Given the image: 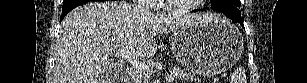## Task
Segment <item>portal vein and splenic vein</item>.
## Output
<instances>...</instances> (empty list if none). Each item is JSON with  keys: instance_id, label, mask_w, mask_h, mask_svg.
I'll return each instance as SVG.
<instances>
[{"instance_id": "portal-vein-and-splenic-vein-1", "label": "portal vein and splenic vein", "mask_w": 307, "mask_h": 83, "mask_svg": "<svg viewBox=\"0 0 307 83\" xmlns=\"http://www.w3.org/2000/svg\"><path fill=\"white\" fill-rule=\"evenodd\" d=\"M116 55L121 56L127 62H129L141 75L145 77H149L151 75L150 68L146 64L140 62L137 58L132 56L126 49H121L116 51ZM168 82L174 80V76L169 75L166 77Z\"/></svg>"}]
</instances>
